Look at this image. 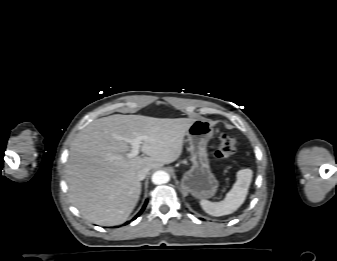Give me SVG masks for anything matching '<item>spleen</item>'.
Returning <instances> with one entry per match:
<instances>
[{"mask_svg": "<svg viewBox=\"0 0 337 261\" xmlns=\"http://www.w3.org/2000/svg\"><path fill=\"white\" fill-rule=\"evenodd\" d=\"M252 175L251 169L239 170L236 174L237 180L226 194L225 199L220 202L201 200L200 205L203 210L212 216H223L235 212L245 201Z\"/></svg>", "mask_w": 337, "mask_h": 261, "instance_id": "3e777b00", "label": "spleen"}]
</instances>
